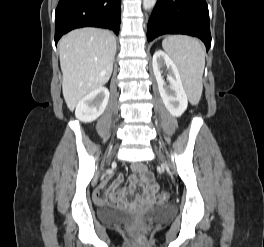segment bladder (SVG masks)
Here are the masks:
<instances>
[{
	"instance_id": "1",
	"label": "bladder",
	"mask_w": 264,
	"mask_h": 247,
	"mask_svg": "<svg viewBox=\"0 0 264 247\" xmlns=\"http://www.w3.org/2000/svg\"><path fill=\"white\" fill-rule=\"evenodd\" d=\"M168 215V210L157 207L139 212L108 207L99 210L98 219L106 224L153 223L164 220Z\"/></svg>"
}]
</instances>
